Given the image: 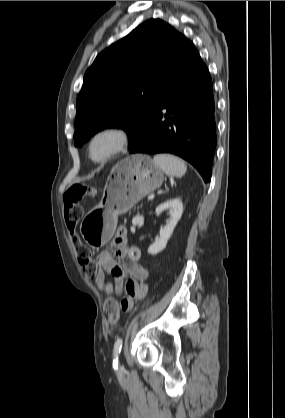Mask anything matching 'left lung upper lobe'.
<instances>
[{
	"label": "left lung upper lobe",
	"instance_id": "5c2ea615",
	"mask_svg": "<svg viewBox=\"0 0 285 418\" xmlns=\"http://www.w3.org/2000/svg\"><path fill=\"white\" fill-rule=\"evenodd\" d=\"M184 38L168 23L150 19L101 52L77 97L75 146L115 127L128 132L132 148L147 127Z\"/></svg>",
	"mask_w": 285,
	"mask_h": 418
}]
</instances>
